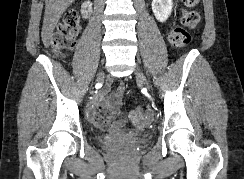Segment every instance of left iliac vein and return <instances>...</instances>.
Returning a JSON list of instances; mask_svg holds the SVG:
<instances>
[{
    "label": "left iliac vein",
    "instance_id": "left-iliac-vein-1",
    "mask_svg": "<svg viewBox=\"0 0 244 179\" xmlns=\"http://www.w3.org/2000/svg\"><path fill=\"white\" fill-rule=\"evenodd\" d=\"M135 75H136V78L141 81L144 85L148 86V82L147 80L145 79V76L143 74V72L137 68L136 71H135Z\"/></svg>",
    "mask_w": 244,
    "mask_h": 179
}]
</instances>
